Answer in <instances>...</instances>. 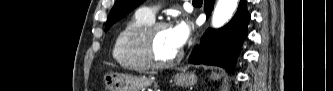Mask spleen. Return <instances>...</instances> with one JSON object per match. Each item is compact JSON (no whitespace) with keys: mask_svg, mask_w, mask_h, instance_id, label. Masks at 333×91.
<instances>
[{"mask_svg":"<svg viewBox=\"0 0 333 91\" xmlns=\"http://www.w3.org/2000/svg\"><path fill=\"white\" fill-rule=\"evenodd\" d=\"M212 78H213V79H218L219 76H218V75H214V76H212Z\"/></svg>","mask_w":333,"mask_h":91,"instance_id":"1","label":"spleen"}]
</instances>
